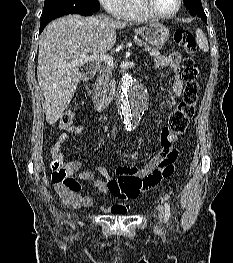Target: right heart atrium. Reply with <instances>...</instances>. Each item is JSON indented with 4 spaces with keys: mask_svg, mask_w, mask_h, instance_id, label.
<instances>
[{
    "mask_svg": "<svg viewBox=\"0 0 233 263\" xmlns=\"http://www.w3.org/2000/svg\"><path fill=\"white\" fill-rule=\"evenodd\" d=\"M123 0H99L101 5L111 14H116Z\"/></svg>",
    "mask_w": 233,
    "mask_h": 263,
    "instance_id": "1",
    "label": "right heart atrium"
}]
</instances>
